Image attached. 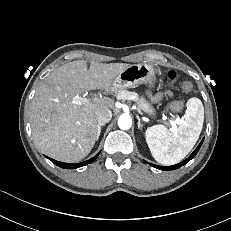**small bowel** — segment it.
<instances>
[{
  "mask_svg": "<svg viewBox=\"0 0 231 231\" xmlns=\"http://www.w3.org/2000/svg\"><path fill=\"white\" fill-rule=\"evenodd\" d=\"M165 96H171V93L169 91H165V92H162V93H158L156 95H151L150 98H151L152 101L157 102V101L161 100Z\"/></svg>",
  "mask_w": 231,
  "mask_h": 231,
  "instance_id": "1",
  "label": "small bowel"
}]
</instances>
